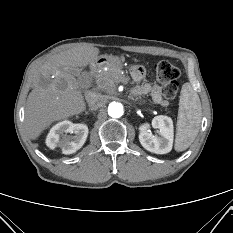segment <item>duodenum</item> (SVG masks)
Listing matches in <instances>:
<instances>
[{
    "label": "duodenum",
    "instance_id": "duodenum-1",
    "mask_svg": "<svg viewBox=\"0 0 233 233\" xmlns=\"http://www.w3.org/2000/svg\"><path fill=\"white\" fill-rule=\"evenodd\" d=\"M103 59H98L90 67V73L87 76L88 81L90 82L96 70L104 63Z\"/></svg>",
    "mask_w": 233,
    "mask_h": 233
}]
</instances>
